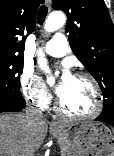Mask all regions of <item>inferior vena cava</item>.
<instances>
[{"mask_svg":"<svg viewBox=\"0 0 114 156\" xmlns=\"http://www.w3.org/2000/svg\"><path fill=\"white\" fill-rule=\"evenodd\" d=\"M26 116L32 120L43 119L42 110L39 108L37 101L27 105Z\"/></svg>","mask_w":114,"mask_h":156,"instance_id":"inferior-vena-cava-1","label":"inferior vena cava"}]
</instances>
